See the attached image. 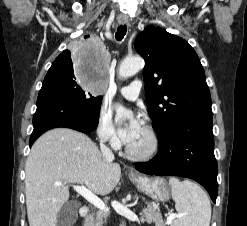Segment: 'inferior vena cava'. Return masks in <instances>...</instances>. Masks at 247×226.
<instances>
[{"instance_id": "obj_1", "label": "inferior vena cava", "mask_w": 247, "mask_h": 226, "mask_svg": "<svg viewBox=\"0 0 247 226\" xmlns=\"http://www.w3.org/2000/svg\"><path fill=\"white\" fill-rule=\"evenodd\" d=\"M104 139H101L100 142V149L102 152V155L106 158V159H110L113 160L114 159V154L112 153V151L104 144Z\"/></svg>"}]
</instances>
